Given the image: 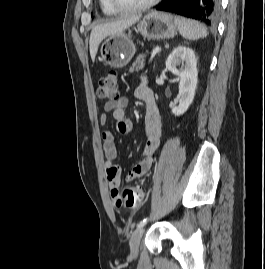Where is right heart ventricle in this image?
Returning a JSON list of instances; mask_svg holds the SVG:
<instances>
[{
  "instance_id": "right-heart-ventricle-1",
  "label": "right heart ventricle",
  "mask_w": 265,
  "mask_h": 269,
  "mask_svg": "<svg viewBox=\"0 0 265 269\" xmlns=\"http://www.w3.org/2000/svg\"><path fill=\"white\" fill-rule=\"evenodd\" d=\"M99 5L102 12L106 15H117L119 14L110 4L109 0H99Z\"/></svg>"
}]
</instances>
